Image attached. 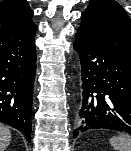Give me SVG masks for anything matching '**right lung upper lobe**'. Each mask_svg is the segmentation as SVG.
<instances>
[{
	"mask_svg": "<svg viewBox=\"0 0 131 151\" xmlns=\"http://www.w3.org/2000/svg\"><path fill=\"white\" fill-rule=\"evenodd\" d=\"M26 0L0 2V38L20 37L37 30Z\"/></svg>",
	"mask_w": 131,
	"mask_h": 151,
	"instance_id": "cb5924a9",
	"label": "right lung upper lobe"
}]
</instances>
